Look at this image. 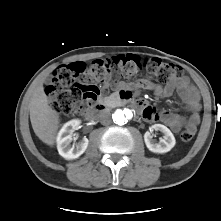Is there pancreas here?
Here are the masks:
<instances>
[{
	"label": "pancreas",
	"instance_id": "obj_1",
	"mask_svg": "<svg viewBox=\"0 0 221 221\" xmlns=\"http://www.w3.org/2000/svg\"><path fill=\"white\" fill-rule=\"evenodd\" d=\"M105 102L108 103V104L114 103V102H116V99L113 95H111V96H109L105 99Z\"/></svg>",
	"mask_w": 221,
	"mask_h": 221
}]
</instances>
